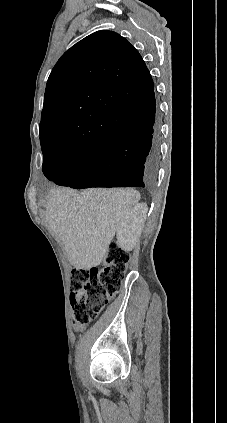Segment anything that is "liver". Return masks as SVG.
<instances>
[{
  "label": "liver",
  "instance_id": "1",
  "mask_svg": "<svg viewBox=\"0 0 227 423\" xmlns=\"http://www.w3.org/2000/svg\"><path fill=\"white\" fill-rule=\"evenodd\" d=\"M139 200V192L130 188H54L43 217L64 243L71 265L90 269L105 259L120 221Z\"/></svg>",
  "mask_w": 227,
  "mask_h": 423
}]
</instances>
